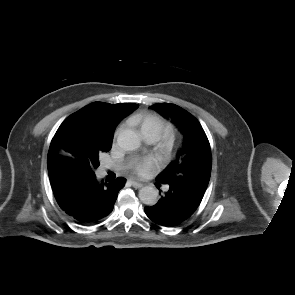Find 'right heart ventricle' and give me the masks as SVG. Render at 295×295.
<instances>
[{
	"instance_id": "1",
	"label": "right heart ventricle",
	"mask_w": 295,
	"mask_h": 295,
	"mask_svg": "<svg viewBox=\"0 0 295 295\" xmlns=\"http://www.w3.org/2000/svg\"><path fill=\"white\" fill-rule=\"evenodd\" d=\"M136 124L144 137L157 140L163 131L168 128L165 119L154 112H143L136 114L131 119Z\"/></svg>"
}]
</instances>
